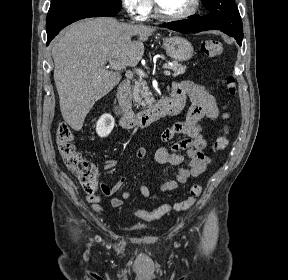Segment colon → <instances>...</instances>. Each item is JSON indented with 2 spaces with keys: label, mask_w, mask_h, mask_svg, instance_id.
<instances>
[{
  "label": "colon",
  "mask_w": 288,
  "mask_h": 280,
  "mask_svg": "<svg viewBox=\"0 0 288 280\" xmlns=\"http://www.w3.org/2000/svg\"><path fill=\"white\" fill-rule=\"evenodd\" d=\"M201 49L206 56L215 59L222 55L224 47L220 41L208 39L201 43ZM225 86L229 95H234L236 93V82L233 77L227 79ZM56 141L59 154L66 167L77 176L80 184L89 195H97L99 189L97 167L92 162L85 159L77 149L74 144V134L69 125L64 122H61L58 125ZM227 143L226 136H221L216 140L215 147L218 150H223L227 146ZM201 193L202 187L199 184H193L190 187V195L186 200L173 205L163 204L152 211L137 209L133 214L146 221L157 220L172 210H188L195 204Z\"/></svg>",
  "instance_id": "5ec220e1"
}]
</instances>
